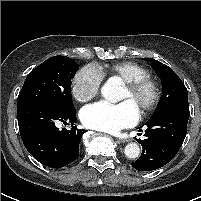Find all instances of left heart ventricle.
<instances>
[{"mask_svg":"<svg viewBox=\"0 0 201 201\" xmlns=\"http://www.w3.org/2000/svg\"><path fill=\"white\" fill-rule=\"evenodd\" d=\"M150 97V92L147 89H144L137 94H131V92L124 87L120 101H130L139 111L140 108L148 101Z\"/></svg>","mask_w":201,"mask_h":201,"instance_id":"b2bd125f","label":"left heart ventricle"}]
</instances>
